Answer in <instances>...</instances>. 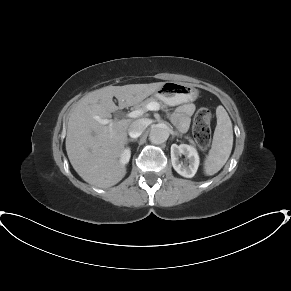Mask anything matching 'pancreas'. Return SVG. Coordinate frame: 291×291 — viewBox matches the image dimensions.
<instances>
[{"instance_id":"1","label":"pancreas","mask_w":291,"mask_h":291,"mask_svg":"<svg viewBox=\"0 0 291 291\" xmlns=\"http://www.w3.org/2000/svg\"><path fill=\"white\" fill-rule=\"evenodd\" d=\"M157 101H158V98L152 96L150 98H147L143 102L137 104L135 106V108L136 109H144L146 107V105L149 104L150 102H157ZM162 108L163 109H166V105L162 104ZM186 139H188L191 144H195L194 141L191 138L186 137Z\"/></svg>"}]
</instances>
